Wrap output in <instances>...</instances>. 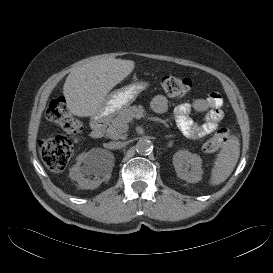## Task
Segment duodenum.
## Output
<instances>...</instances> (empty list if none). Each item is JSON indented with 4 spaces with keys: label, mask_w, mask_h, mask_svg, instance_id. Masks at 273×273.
I'll list each match as a JSON object with an SVG mask.
<instances>
[{
    "label": "duodenum",
    "mask_w": 273,
    "mask_h": 273,
    "mask_svg": "<svg viewBox=\"0 0 273 273\" xmlns=\"http://www.w3.org/2000/svg\"><path fill=\"white\" fill-rule=\"evenodd\" d=\"M106 121L102 117H96L92 121V129H91V138L92 139H100L102 138L105 131Z\"/></svg>",
    "instance_id": "410a0bca"
}]
</instances>
